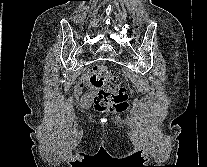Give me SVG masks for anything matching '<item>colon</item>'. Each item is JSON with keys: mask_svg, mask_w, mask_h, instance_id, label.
Masks as SVG:
<instances>
[{"mask_svg": "<svg viewBox=\"0 0 207 167\" xmlns=\"http://www.w3.org/2000/svg\"><path fill=\"white\" fill-rule=\"evenodd\" d=\"M91 83L100 89L94 100L95 108L98 111H103L106 108L122 111L126 108L128 101L123 82L104 64H98L94 67Z\"/></svg>", "mask_w": 207, "mask_h": 167, "instance_id": "colon-1", "label": "colon"}]
</instances>
